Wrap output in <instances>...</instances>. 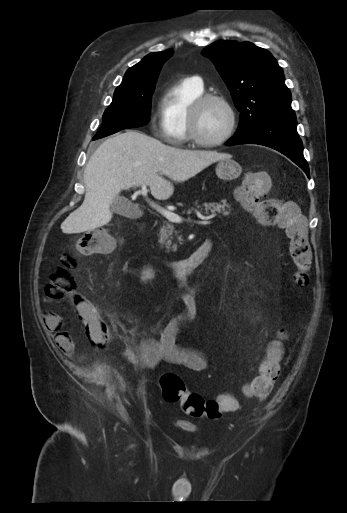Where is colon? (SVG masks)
I'll return each instance as SVG.
<instances>
[{"mask_svg": "<svg viewBox=\"0 0 347 513\" xmlns=\"http://www.w3.org/2000/svg\"><path fill=\"white\" fill-rule=\"evenodd\" d=\"M269 186L265 174L249 172L237 187L238 198L243 207L252 212L263 225H275L284 230L289 240V252L295 272L294 281L298 287L308 284V272L312 261V252L308 240L307 227L298 208L291 202L269 203L264 199L263 191ZM114 238L104 229H95L83 234L77 244L81 254H100L111 251ZM76 260L73 255H63L59 264L51 272L45 286L46 295L53 299H70L75 305V315L80 324L87 328L90 342L97 347H106L109 343L106 324L97 311L94 300H84L75 290L73 272ZM266 358L258 367V375L245 386V393L252 398L267 397L280 373V361L285 358V347L279 340H267L263 345ZM163 399L168 403H179L188 416L211 419L220 418L224 413L237 409V400L228 393H222L215 399H204L189 392L183 379L172 372L160 377Z\"/></svg>", "mask_w": 347, "mask_h": 513, "instance_id": "1", "label": "colon"}]
</instances>
